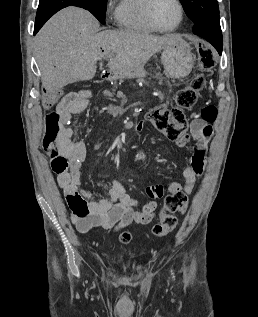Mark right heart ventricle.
<instances>
[{
  "mask_svg": "<svg viewBox=\"0 0 258 317\" xmlns=\"http://www.w3.org/2000/svg\"><path fill=\"white\" fill-rule=\"evenodd\" d=\"M149 0H118L114 18L122 30L151 34L156 30L147 22L145 10Z\"/></svg>",
  "mask_w": 258,
  "mask_h": 317,
  "instance_id": "obj_1",
  "label": "right heart ventricle"
}]
</instances>
